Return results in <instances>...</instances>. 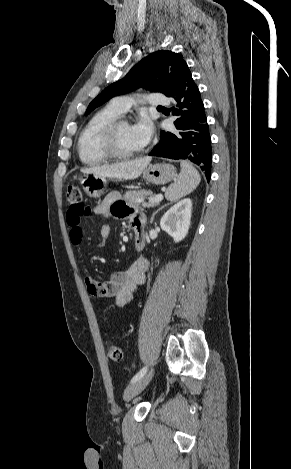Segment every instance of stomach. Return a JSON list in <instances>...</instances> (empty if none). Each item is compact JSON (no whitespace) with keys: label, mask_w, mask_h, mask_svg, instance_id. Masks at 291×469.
<instances>
[{"label":"stomach","mask_w":291,"mask_h":469,"mask_svg":"<svg viewBox=\"0 0 291 469\" xmlns=\"http://www.w3.org/2000/svg\"><path fill=\"white\" fill-rule=\"evenodd\" d=\"M176 176L175 167L166 163L149 165L143 171V177L146 181L155 185H164L175 179ZM81 184L90 197L98 198L105 192L107 179L94 174H86L81 179Z\"/></svg>","instance_id":"1"}]
</instances>
